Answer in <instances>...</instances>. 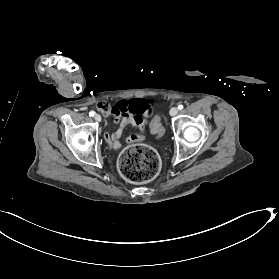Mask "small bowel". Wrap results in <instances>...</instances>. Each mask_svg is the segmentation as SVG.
I'll return each instance as SVG.
<instances>
[{
  "mask_svg": "<svg viewBox=\"0 0 279 279\" xmlns=\"http://www.w3.org/2000/svg\"><path fill=\"white\" fill-rule=\"evenodd\" d=\"M118 124V129L112 133H105V140L111 149L118 150L121 147L123 130L132 125L138 129V133L126 138L128 144L142 141L145 137V126L148 119L153 116V106L150 101L135 100L131 103L119 102L111 107L109 113Z\"/></svg>",
  "mask_w": 279,
  "mask_h": 279,
  "instance_id": "c3829d8e",
  "label": "small bowel"
}]
</instances>
